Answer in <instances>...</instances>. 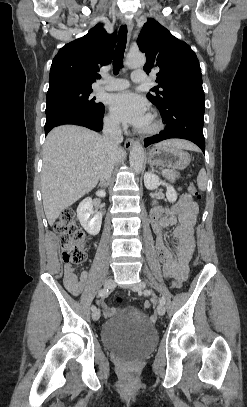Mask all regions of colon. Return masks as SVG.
<instances>
[{"label":"colon","instance_id":"5ec220e1","mask_svg":"<svg viewBox=\"0 0 247 407\" xmlns=\"http://www.w3.org/2000/svg\"><path fill=\"white\" fill-rule=\"evenodd\" d=\"M188 195L190 198H201L198 189L194 184H191L188 187ZM54 229L60 238V243L62 246V258L64 262L76 265L84 263L86 260V244L83 233L77 227L73 209L69 208L62 212L59 219L55 223ZM181 286V280H175L173 282V287L180 288ZM118 301H120V299H118ZM152 305L153 302L151 300H147L144 303L146 308H150ZM127 376L132 378V372H128Z\"/></svg>","mask_w":247,"mask_h":407}]
</instances>
